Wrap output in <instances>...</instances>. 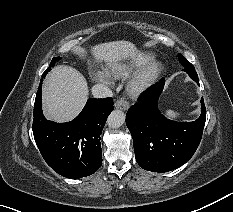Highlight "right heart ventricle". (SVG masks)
Masks as SVG:
<instances>
[{"mask_svg":"<svg viewBox=\"0 0 233 212\" xmlns=\"http://www.w3.org/2000/svg\"><path fill=\"white\" fill-rule=\"evenodd\" d=\"M153 58V55L147 52L135 53L129 61L121 64H113L108 68V72L115 77L127 75L134 69L142 67Z\"/></svg>","mask_w":233,"mask_h":212,"instance_id":"right-heart-ventricle-1","label":"right heart ventricle"}]
</instances>
